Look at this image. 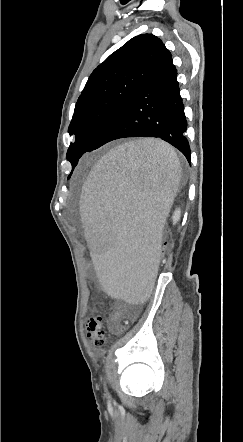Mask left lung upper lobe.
Returning a JSON list of instances; mask_svg holds the SVG:
<instances>
[{"mask_svg": "<svg viewBox=\"0 0 243 442\" xmlns=\"http://www.w3.org/2000/svg\"><path fill=\"white\" fill-rule=\"evenodd\" d=\"M165 45L152 34L130 39L112 53L90 75L79 97L69 134L75 136L66 158L74 168L79 158L89 152L119 107L140 85L155 66Z\"/></svg>", "mask_w": 243, "mask_h": 442, "instance_id": "obj_1", "label": "left lung upper lobe"}]
</instances>
